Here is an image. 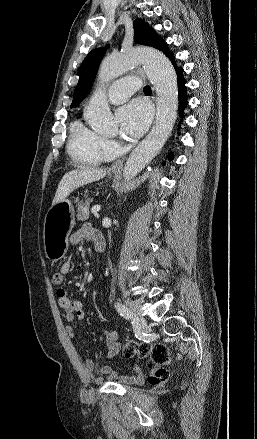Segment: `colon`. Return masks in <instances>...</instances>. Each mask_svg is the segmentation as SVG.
Segmentation results:
<instances>
[{
	"label": "colon",
	"mask_w": 257,
	"mask_h": 439,
	"mask_svg": "<svg viewBox=\"0 0 257 439\" xmlns=\"http://www.w3.org/2000/svg\"><path fill=\"white\" fill-rule=\"evenodd\" d=\"M53 281L55 284H61L63 276L57 272L53 276ZM123 353L126 357L138 355L148 359L149 370L147 378L151 385L158 386L168 380L169 372L167 366L171 363V356L165 345L138 344L134 341H128L123 347Z\"/></svg>",
	"instance_id": "5ec220e1"
}]
</instances>
